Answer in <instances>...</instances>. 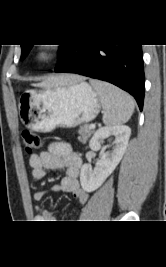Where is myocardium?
I'll return each instance as SVG.
<instances>
[{
	"instance_id": "1",
	"label": "myocardium",
	"mask_w": 166,
	"mask_h": 267,
	"mask_svg": "<svg viewBox=\"0 0 166 267\" xmlns=\"http://www.w3.org/2000/svg\"><path fill=\"white\" fill-rule=\"evenodd\" d=\"M59 49L53 45L34 46L32 60L36 64H48L58 57Z\"/></svg>"
}]
</instances>
